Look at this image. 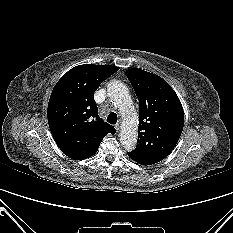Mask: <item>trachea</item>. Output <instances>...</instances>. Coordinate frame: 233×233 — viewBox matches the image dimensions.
I'll list each match as a JSON object with an SVG mask.
<instances>
[{"mask_svg":"<svg viewBox=\"0 0 233 233\" xmlns=\"http://www.w3.org/2000/svg\"><path fill=\"white\" fill-rule=\"evenodd\" d=\"M118 120L117 114L114 112L109 113L108 117H107V122L110 124H116Z\"/></svg>","mask_w":233,"mask_h":233,"instance_id":"obj_1","label":"trachea"}]
</instances>
